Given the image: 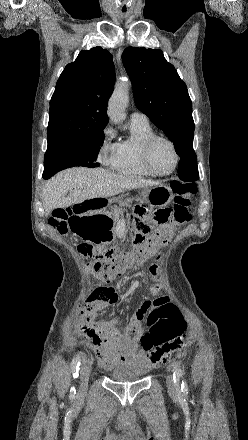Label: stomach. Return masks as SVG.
Returning a JSON list of instances; mask_svg holds the SVG:
<instances>
[{"label":"stomach","instance_id":"stomach-1","mask_svg":"<svg viewBox=\"0 0 248 440\" xmlns=\"http://www.w3.org/2000/svg\"><path fill=\"white\" fill-rule=\"evenodd\" d=\"M140 199H144L153 207L166 206L172 200V191L169 187L158 184L142 189ZM85 201V204H75L74 212L80 218H70L69 229L74 232V237H81L84 246H112V230L114 219L110 218L109 209H103L106 198ZM127 198L119 195L116 201L125 205Z\"/></svg>","mask_w":248,"mask_h":440}]
</instances>
